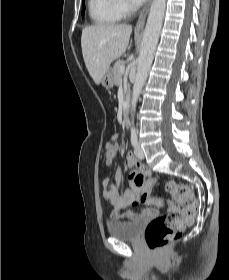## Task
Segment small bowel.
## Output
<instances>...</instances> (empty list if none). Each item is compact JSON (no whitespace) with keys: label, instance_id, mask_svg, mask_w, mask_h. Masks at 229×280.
Listing matches in <instances>:
<instances>
[{"label":"small bowel","instance_id":"1","mask_svg":"<svg viewBox=\"0 0 229 280\" xmlns=\"http://www.w3.org/2000/svg\"><path fill=\"white\" fill-rule=\"evenodd\" d=\"M116 138H112V143L116 145ZM126 166L131 168L137 166L140 173L144 171L142 162L136 158L133 153H128L126 155ZM139 173L131 172L129 174L130 184L127 189L123 190L121 185L122 180V170L120 167L116 168L115 171V183H112L109 178L103 181V195L106 200L112 205L113 210L111 212L112 219H137V218H151L158 213L161 205H153L151 201L155 199L151 195L153 184L143 183L142 185H137L134 181L136 175ZM138 195L139 200L134 201L133 197ZM160 199V198H158ZM161 200V199H160ZM162 201V200H161ZM145 205L146 207L140 208L138 211L129 210L122 212L129 206ZM169 208H173L172 204L168 205Z\"/></svg>","mask_w":229,"mask_h":280}]
</instances>
